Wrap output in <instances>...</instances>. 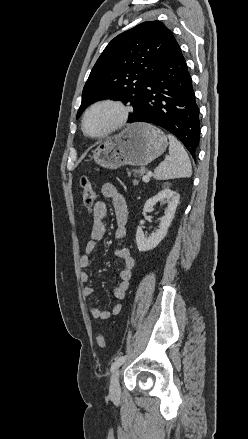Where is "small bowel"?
Here are the masks:
<instances>
[{
  "mask_svg": "<svg viewBox=\"0 0 248 439\" xmlns=\"http://www.w3.org/2000/svg\"><path fill=\"white\" fill-rule=\"evenodd\" d=\"M102 195L111 200L116 216L117 228L115 238L122 240L127 235V219L128 208L127 202L122 193L111 183H106L101 188ZM107 213V206L103 201H97L93 208V223L90 231V239L85 246V254L80 258L79 265L81 269L90 266V255L95 252L98 243L103 239L105 234L104 218ZM115 255L123 262V268L119 271V282L113 288V295L116 299L122 300L130 285L132 270L135 267V259L132 257L130 250L126 247H119L115 250ZM90 276L86 271H81L80 281L88 283ZM94 289L90 285H86L82 289V294L89 297L93 294ZM122 310L121 304H116L112 310H101L97 307L90 308V314L95 319L106 320L111 316L118 315Z\"/></svg>",
  "mask_w": 248,
  "mask_h": 439,
  "instance_id": "obj_1",
  "label": "small bowel"
}]
</instances>
